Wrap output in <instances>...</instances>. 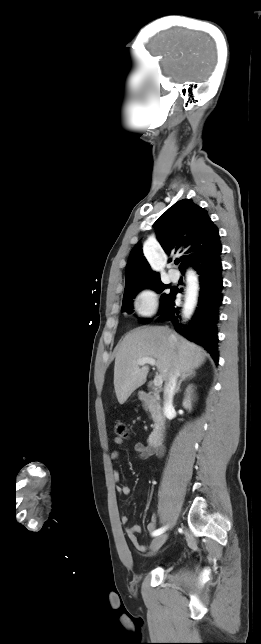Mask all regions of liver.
<instances>
[{
    "mask_svg": "<svg viewBox=\"0 0 261 644\" xmlns=\"http://www.w3.org/2000/svg\"><path fill=\"white\" fill-rule=\"evenodd\" d=\"M144 357L156 359L157 370L166 382L175 368L180 374L194 372L204 363L206 352L167 327L144 326L131 331L115 357L114 388L120 404L145 383L149 367L137 364Z\"/></svg>",
    "mask_w": 261,
    "mask_h": 644,
    "instance_id": "1",
    "label": "liver"
}]
</instances>
